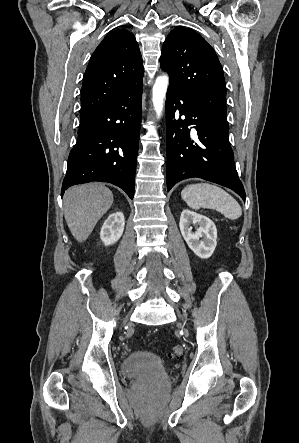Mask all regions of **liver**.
Masks as SVG:
<instances>
[{
    "label": "liver",
    "instance_id": "1",
    "mask_svg": "<svg viewBox=\"0 0 299 443\" xmlns=\"http://www.w3.org/2000/svg\"><path fill=\"white\" fill-rule=\"evenodd\" d=\"M114 198L104 185L90 183L69 188L63 197L66 223L78 242L85 241Z\"/></svg>",
    "mask_w": 299,
    "mask_h": 443
}]
</instances>
